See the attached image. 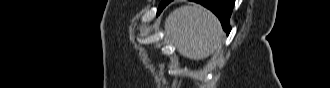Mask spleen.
<instances>
[{"instance_id": "1", "label": "spleen", "mask_w": 330, "mask_h": 88, "mask_svg": "<svg viewBox=\"0 0 330 88\" xmlns=\"http://www.w3.org/2000/svg\"><path fill=\"white\" fill-rule=\"evenodd\" d=\"M166 40L193 60L209 57L221 47L222 28L216 16L198 4L184 5L167 17Z\"/></svg>"}]
</instances>
